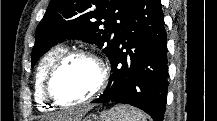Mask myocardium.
Returning <instances> with one entry per match:
<instances>
[{
	"mask_svg": "<svg viewBox=\"0 0 217 121\" xmlns=\"http://www.w3.org/2000/svg\"><path fill=\"white\" fill-rule=\"evenodd\" d=\"M78 57H84L92 60L98 67L99 79L94 90L86 98L78 102H64L56 97L52 90V83L57 72L70 60ZM108 81V69L104 61L96 54L82 49L72 50L65 52L49 69L44 86V93L48 101L56 107L68 108L74 106H81L90 103L94 100L105 88Z\"/></svg>",
	"mask_w": 217,
	"mask_h": 121,
	"instance_id": "obj_1",
	"label": "myocardium"
}]
</instances>
